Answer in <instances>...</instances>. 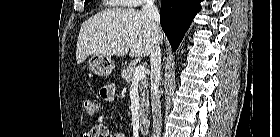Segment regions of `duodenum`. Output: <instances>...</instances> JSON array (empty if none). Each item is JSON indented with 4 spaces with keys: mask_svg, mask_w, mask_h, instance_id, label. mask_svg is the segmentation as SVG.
Masks as SVG:
<instances>
[{
    "mask_svg": "<svg viewBox=\"0 0 280 137\" xmlns=\"http://www.w3.org/2000/svg\"><path fill=\"white\" fill-rule=\"evenodd\" d=\"M151 122L149 119H144L139 124V130L143 134H148L150 131Z\"/></svg>",
    "mask_w": 280,
    "mask_h": 137,
    "instance_id": "obj_1",
    "label": "duodenum"
}]
</instances>
